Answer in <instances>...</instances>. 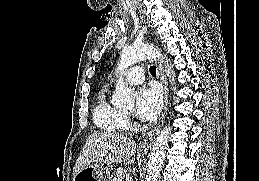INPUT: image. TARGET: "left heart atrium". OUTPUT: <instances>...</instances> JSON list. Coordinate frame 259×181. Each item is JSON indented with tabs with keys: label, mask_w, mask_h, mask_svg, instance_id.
<instances>
[{
	"label": "left heart atrium",
	"mask_w": 259,
	"mask_h": 181,
	"mask_svg": "<svg viewBox=\"0 0 259 181\" xmlns=\"http://www.w3.org/2000/svg\"><path fill=\"white\" fill-rule=\"evenodd\" d=\"M162 107V93L160 89L151 85L142 87L136 100V112L144 120H152L158 116Z\"/></svg>",
	"instance_id": "39dd6f15"
}]
</instances>
